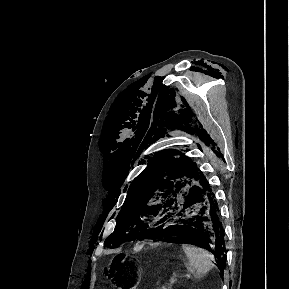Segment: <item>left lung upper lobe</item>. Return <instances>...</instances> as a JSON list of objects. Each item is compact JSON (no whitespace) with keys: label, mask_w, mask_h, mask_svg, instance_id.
<instances>
[{"label":"left lung upper lobe","mask_w":289,"mask_h":289,"mask_svg":"<svg viewBox=\"0 0 289 289\" xmlns=\"http://www.w3.org/2000/svg\"><path fill=\"white\" fill-rule=\"evenodd\" d=\"M205 181L196 164L180 151L157 153L131 184L106 246L115 248L126 241L144 239L165 223L171 203L187 187Z\"/></svg>","instance_id":"5c2ea615"}]
</instances>
